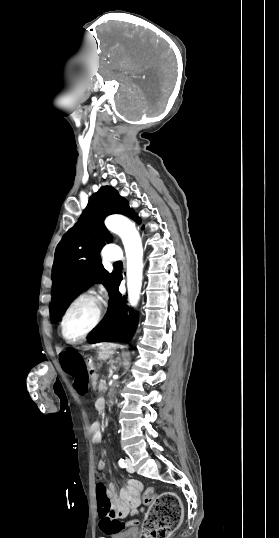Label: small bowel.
Wrapping results in <instances>:
<instances>
[{
    "instance_id": "small-bowel-1",
    "label": "small bowel",
    "mask_w": 279,
    "mask_h": 538,
    "mask_svg": "<svg viewBox=\"0 0 279 538\" xmlns=\"http://www.w3.org/2000/svg\"><path fill=\"white\" fill-rule=\"evenodd\" d=\"M74 389L80 395H84L90 388V382L85 374L76 375L74 378ZM92 439L94 442L101 440L100 424L95 422L91 426ZM106 461L100 460L98 468L103 469ZM143 485L140 481L131 479L124 484L118 491L113 483L108 486V494L111 498L113 514L109 517H101V530L110 534L124 529L134 528L137 525L136 520L123 522L122 519L134 515L142 504Z\"/></svg>"
}]
</instances>
